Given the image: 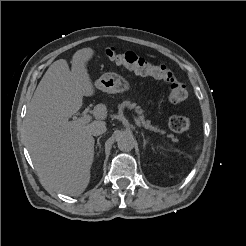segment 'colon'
I'll return each instance as SVG.
<instances>
[{
	"instance_id": "colon-1",
	"label": "colon",
	"mask_w": 246,
	"mask_h": 246,
	"mask_svg": "<svg viewBox=\"0 0 246 246\" xmlns=\"http://www.w3.org/2000/svg\"><path fill=\"white\" fill-rule=\"evenodd\" d=\"M107 58L118 66L142 76H151L169 85L168 99L171 103L183 102L188 95L187 88L180 83L174 73L164 65H155L132 51L117 52L114 48L105 51ZM174 132H185L191 127V120L182 115H172L168 122Z\"/></svg>"
}]
</instances>
